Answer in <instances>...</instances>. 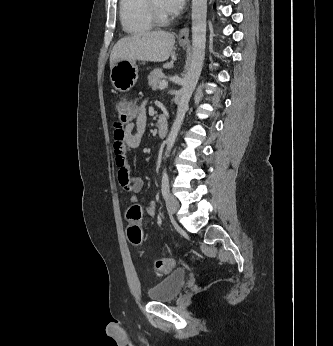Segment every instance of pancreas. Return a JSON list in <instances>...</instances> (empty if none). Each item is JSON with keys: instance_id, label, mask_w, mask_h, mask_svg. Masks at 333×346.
Wrapping results in <instances>:
<instances>
[{"instance_id": "obj_1", "label": "pancreas", "mask_w": 333, "mask_h": 346, "mask_svg": "<svg viewBox=\"0 0 333 346\" xmlns=\"http://www.w3.org/2000/svg\"><path fill=\"white\" fill-rule=\"evenodd\" d=\"M162 76H163V73H162V69L160 68L154 69L148 75V83L152 87L153 90H156L159 88V84L161 82Z\"/></svg>"}]
</instances>
